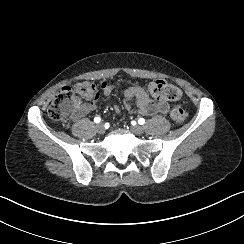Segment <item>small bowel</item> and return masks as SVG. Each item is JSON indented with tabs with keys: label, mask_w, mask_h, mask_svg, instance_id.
Instances as JSON below:
<instances>
[{
	"label": "small bowel",
	"mask_w": 244,
	"mask_h": 244,
	"mask_svg": "<svg viewBox=\"0 0 244 244\" xmlns=\"http://www.w3.org/2000/svg\"><path fill=\"white\" fill-rule=\"evenodd\" d=\"M116 86V84H113L111 82H102L100 84V88L103 97H109ZM123 99L125 104L133 113L143 116H152L159 114L165 115L170 110V106L167 102L153 100L145 89L135 84H133L131 87L124 91ZM97 109V101L85 103L76 110V112L74 113V117L76 119H80ZM115 111L120 114V109L117 106H115Z\"/></svg>",
	"instance_id": "obj_1"
}]
</instances>
